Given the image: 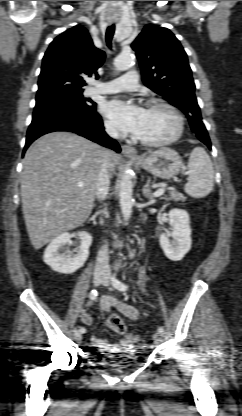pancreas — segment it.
Wrapping results in <instances>:
<instances>
[{"instance_id": "obj_1", "label": "pancreas", "mask_w": 242, "mask_h": 416, "mask_svg": "<svg viewBox=\"0 0 242 416\" xmlns=\"http://www.w3.org/2000/svg\"><path fill=\"white\" fill-rule=\"evenodd\" d=\"M164 199L173 200L175 202H178V201H185L186 197L184 195H182L181 193H178L176 191H171L169 193V197H165Z\"/></svg>"}]
</instances>
